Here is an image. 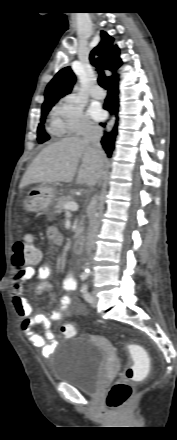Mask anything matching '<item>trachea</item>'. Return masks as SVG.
<instances>
[{"mask_svg":"<svg viewBox=\"0 0 177 440\" xmlns=\"http://www.w3.org/2000/svg\"><path fill=\"white\" fill-rule=\"evenodd\" d=\"M96 67H97V70L99 72V78H98L99 85L102 88H104V89H108V85H107V82H106V77L104 75L100 59L96 60Z\"/></svg>","mask_w":177,"mask_h":440,"instance_id":"trachea-1","label":"trachea"}]
</instances>
